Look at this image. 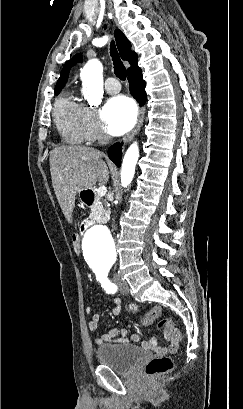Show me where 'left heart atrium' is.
I'll list each match as a JSON object with an SVG mask.
<instances>
[{
  "mask_svg": "<svg viewBox=\"0 0 243 409\" xmlns=\"http://www.w3.org/2000/svg\"><path fill=\"white\" fill-rule=\"evenodd\" d=\"M137 108L132 99L116 96L107 101L101 111V119L107 133L118 136L129 131L135 124Z\"/></svg>",
  "mask_w": 243,
  "mask_h": 409,
  "instance_id": "39dd6f15",
  "label": "left heart atrium"
}]
</instances>
